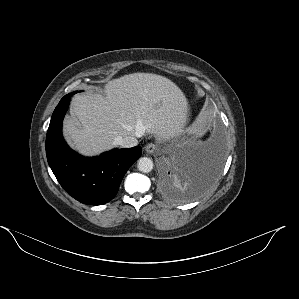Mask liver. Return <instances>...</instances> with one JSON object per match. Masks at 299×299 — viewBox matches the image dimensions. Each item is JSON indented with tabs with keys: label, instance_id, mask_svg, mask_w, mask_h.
<instances>
[{
	"label": "liver",
	"instance_id": "1",
	"mask_svg": "<svg viewBox=\"0 0 299 299\" xmlns=\"http://www.w3.org/2000/svg\"><path fill=\"white\" fill-rule=\"evenodd\" d=\"M105 94L87 92L71 101L64 137L76 151L97 155L116 146L115 138L154 135L170 140L183 130L188 101L170 79L152 73H133L105 85Z\"/></svg>",
	"mask_w": 299,
	"mask_h": 299
}]
</instances>
